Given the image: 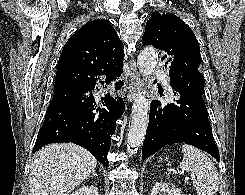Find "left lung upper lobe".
I'll list each match as a JSON object with an SVG mask.
<instances>
[{"instance_id": "left-lung-upper-lobe-1", "label": "left lung upper lobe", "mask_w": 245, "mask_h": 195, "mask_svg": "<svg viewBox=\"0 0 245 195\" xmlns=\"http://www.w3.org/2000/svg\"><path fill=\"white\" fill-rule=\"evenodd\" d=\"M142 43L161 50L163 59L167 55L171 57L166 64L170 68L172 88L191 89L203 94L205 80L199 72L200 47L194 33L182 20L172 13H152Z\"/></svg>"}]
</instances>
